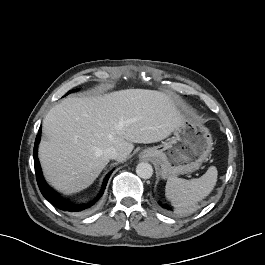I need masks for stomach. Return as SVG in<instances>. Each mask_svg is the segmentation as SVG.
<instances>
[{
    "label": "stomach",
    "mask_w": 265,
    "mask_h": 265,
    "mask_svg": "<svg viewBox=\"0 0 265 265\" xmlns=\"http://www.w3.org/2000/svg\"><path fill=\"white\" fill-rule=\"evenodd\" d=\"M173 133V137L162 145L141 153V156L154 161L162 178L196 171L212 151L213 140L209 129L192 117H186Z\"/></svg>",
    "instance_id": "stomach-1"
}]
</instances>
